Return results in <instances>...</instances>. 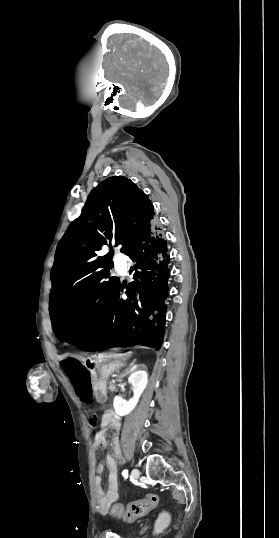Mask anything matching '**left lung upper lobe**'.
<instances>
[{"label":"left lung upper lobe","instance_id":"obj_1","mask_svg":"<svg viewBox=\"0 0 279 538\" xmlns=\"http://www.w3.org/2000/svg\"><path fill=\"white\" fill-rule=\"evenodd\" d=\"M153 215L148 196L126 177H110L91 191L56 248L50 313L59 339L67 332L91 336L102 325L120 281L109 274L112 248L98 253L114 244L126 254L154 226Z\"/></svg>","mask_w":279,"mask_h":538}]
</instances>
